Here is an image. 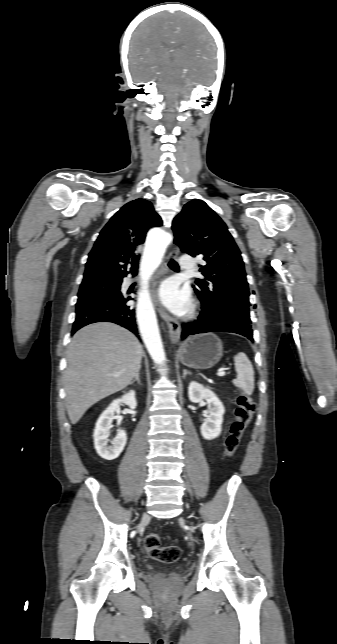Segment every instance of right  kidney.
<instances>
[{
	"label": "right kidney",
	"mask_w": 337,
	"mask_h": 644,
	"mask_svg": "<svg viewBox=\"0 0 337 644\" xmlns=\"http://www.w3.org/2000/svg\"><path fill=\"white\" fill-rule=\"evenodd\" d=\"M121 403L128 405L130 409H135L137 406L135 391L131 390L122 396V398L114 400L100 415L94 429L93 437L96 452L106 460L116 459L123 451L127 442V435L124 430H118L117 436L114 439H108V431L115 418L114 413ZM109 442L111 445H108Z\"/></svg>",
	"instance_id": "obj_1"
}]
</instances>
